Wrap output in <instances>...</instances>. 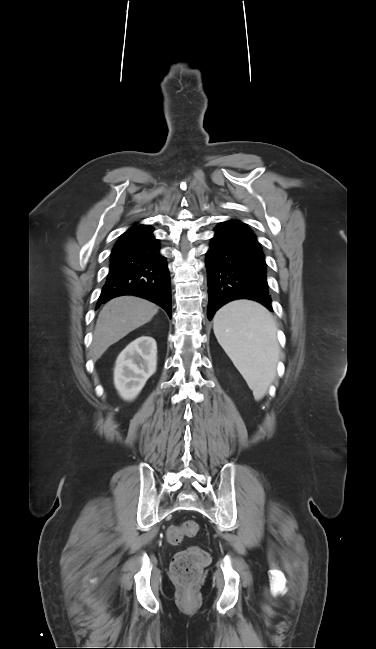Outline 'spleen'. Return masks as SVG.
Returning a JSON list of instances; mask_svg holds the SVG:
<instances>
[{"label": "spleen", "mask_w": 376, "mask_h": 649, "mask_svg": "<svg viewBox=\"0 0 376 649\" xmlns=\"http://www.w3.org/2000/svg\"><path fill=\"white\" fill-rule=\"evenodd\" d=\"M214 334L253 391L265 395L276 374L279 345L272 314L251 300L224 305L214 316Z\"/></svg>", "instance_id": "spleen-1"}]
</instances>
